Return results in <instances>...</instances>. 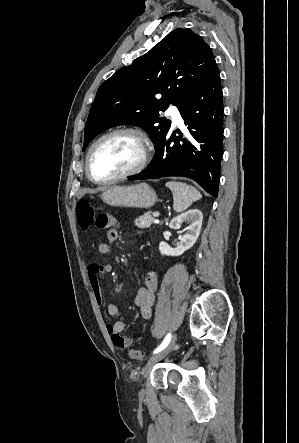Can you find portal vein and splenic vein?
Instances as JSON below:
<instances>
[{
    "label": "portal vein and splenic vein",
    "instance_id": "obj_1",
    "mask_svg": "<svg viewBox=\"0 0 299 443\" xmlns=\"http://www.w3.org/2000/svg\"><path fill=\"white\" fill-rule=\"evenodd\" d=\"M153 216H154V217H158V216H159V213H158V212H153Z\"/></svg>",
    "mask_w": 299,
    "mask_h": 443
}]
</instances>
